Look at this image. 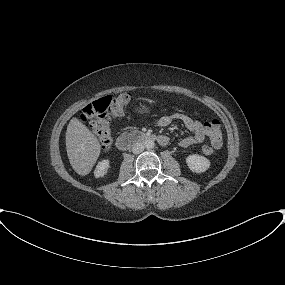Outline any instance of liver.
<instances>
[{
    "mask_svg": "<svg viewBox=\"0 0 285 285\" xmlns=\"http://www.w3.org/2000/svg\"><path fill=\"white\" fill-rule=\"evenodd\" d=\"M66 150L74 171L87 175L96 163L101 147L97 137L76 117H73L66 131Z\"/></svg>",
    "mask_w": 285,
    "mask_h": 285,
    "instance_id": "obj_1",
    "label": "liver"
}]
</instances>
